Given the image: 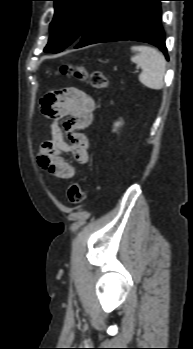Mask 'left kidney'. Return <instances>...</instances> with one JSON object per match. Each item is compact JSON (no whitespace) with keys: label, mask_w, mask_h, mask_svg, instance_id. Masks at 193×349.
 <instances>
[{"label":"left kidney","mask_w":193,"mask_h":349,"mask_svg":"<svg viewBox=\"0 0 193 349\" xmlns=\"http://www.w3.org/2000/svg\"><path fill=\"white\" fill-rule=\"evenodd\" d=\"M120 125H121V122L115 123V125H114V131L118 130V128L120 127Z\"/></svg>","instance_id":"obj_1"}]
</instances>
